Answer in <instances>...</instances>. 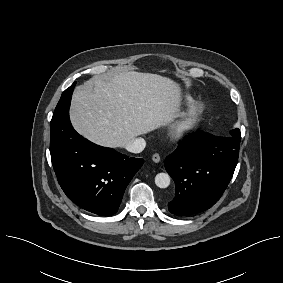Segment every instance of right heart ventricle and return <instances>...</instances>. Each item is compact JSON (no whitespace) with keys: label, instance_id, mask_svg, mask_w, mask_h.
Listing matches in <instances>:
<instances>
[{"label":"right heart ventricle","instance_id":"obj_1","mask_svg":"<svg viewBox=\"0 0 283 283\" xmlns=\"http://www.w3.org/2000/svg\"><path fill=\"white\" fill-rule=\"evenodd\" d=\"M191 101H192V99H191L190 97H186V98H185V103H186V104L191 103Z\"/></svg>","mask_w":283,"mask_h":283}]
</instances>
